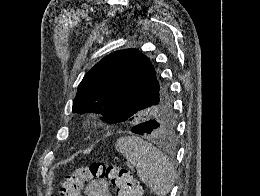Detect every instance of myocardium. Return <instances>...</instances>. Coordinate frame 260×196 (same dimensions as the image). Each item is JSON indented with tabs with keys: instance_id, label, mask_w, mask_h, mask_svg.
<instances>
[{
	"instance_id": "obj_1",
	"label": "myocardium",
	"mask_w": 260,
	"mask_h": 196,
	"mask_svg": "<svg viewBox=\"0 0 260 196\" xmlns=\"http://www.w3.org/2000/svg\"><path fill=\"white\" fill-rule=\"evenodd\" d=\"M88 118H89V123H90L91 129L96 130L101 127L102 122H101V118L98 114L90 113Z\"/></svg>"
}]
</instances>
